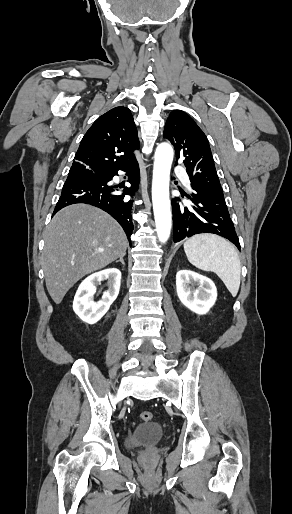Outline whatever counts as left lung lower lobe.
<instances>
[{"instance_id":"obj_1","label":"left lung lower lobe","mask_w":292,"mask_h":514,"mask_svg":"<svg viewBox=\"0 0 292 514\" xmlns=\"http://www.w3.org/2000/svg\"><path fill=\"white\" fill-rule=\"evenodd\" d=\"M192 204L179 205V198L172 199L174 242L199 233H213L240 243L225 203L224 195L206 194L192 187L186 195Z\"/></svg>"}]
</instances>
